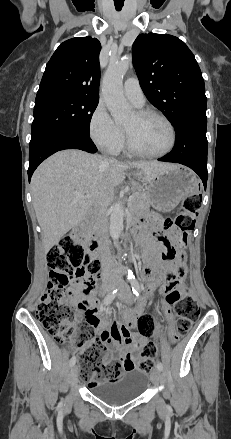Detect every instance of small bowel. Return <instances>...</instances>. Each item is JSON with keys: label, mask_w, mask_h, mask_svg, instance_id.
Returning <instances> with one entry per match:
<instances>
[{"label": "small bowel", "mask_w": 231, "mask_h": 439, "mask_svg": "<svg viewBox=\"0 0 231 439\" xmlns=\"http://www.w3.org/2000/svg\"><path fill=\"white\" fill-rule=\"evenodd\" d=\"M170 235H175L176 230L171 228L167 230ZM173 251L171 250L170 242L158 241L152 236L147 237V245L144 250L145 262L149 265V271L145 272V278L148 284L147 293L151 294L157 287H160L162 292H167L171 289L182 290L179 282L171 281L164 282L163 276L160 273V261L163 256V269L166 273L178 272L184 267L183 254L173 262L171 258ZM92 291L85 292L78 290L75 292L73 302L79 308L82 304L83 309H80V316H84L87 322L102 330L101 337L108 344L110 349V356L119 358L125 364L127 370V362L134 364L133 368L137 366V354L143 350L145 339L138 337L133 331V327L137 319L142 315L145 306V299L139 301L133 310H123V323H110L103 318V312L98 310V303L91 295ZM166 309V304H164ZM85 346L77 348L79 354L84 352ZM109 358L104 362H108Z\"/></svg>", "instance_id": "small-bowel-1"}]
</instances>
